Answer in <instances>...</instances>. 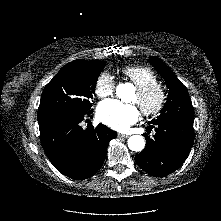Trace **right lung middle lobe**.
<instances>
[{
    "label": "right lung middle lobe",
    "instance_id": "1",
    "mask_svg": "<svg viewBox=\"0 0 221 221\" xmlns=\"http://www.w3.org/2000/svg\"><path fill=\"white\" fill-rule=\"evenodd\" d=\"M104 66L102 61L85 60L65 65L43 90L38 121L89 112L96 82Z\"/></svg>",
    "mask_w": 221,
    "mask_h": 221
}]
</instances>
